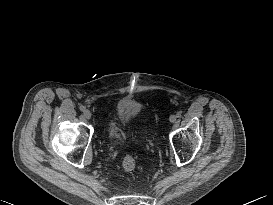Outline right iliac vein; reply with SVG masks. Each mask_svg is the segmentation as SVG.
I'll return each mask as SVG.
<instances>
[{"instance_id": "right-iliac-vein-1", "label": "right iliac vein", "mask_w": 273, "mask_h": 205, "mask_svg": "<svg viewBox=\"0 0 273 205\" xmlns=\"http://www.w3.org/2000/svg\"><path fill=\"white\" fill-rule=\"evenodd\" d=\"M83 115L87 120L91 119V112L89 110H84Z\"/></svg>"}]
</instances>
